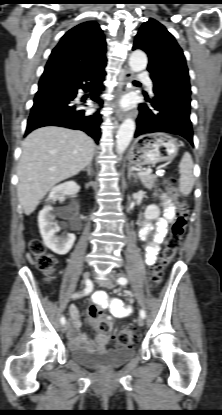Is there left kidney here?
<instances>
[{
    "mask_svg": "<svg viewBox=\"0 0 222 415\" xmlns=\"http://www.w3.org/2000/svg\"><path fill=\"white\" fill-rule=\"evenodd\" d=\"M159 215H160V209H159V207H158V206H156V205H154V204L149 205V206L146 208L145 213H144V217H145L147 220H154V219H157V218L159 217Z\"/></svg>",
    "mask_w": 222,
    "mask_h": 415,
    "instance_id": "5707ae66",
    "label": "left kidney"
}]
</instances>
